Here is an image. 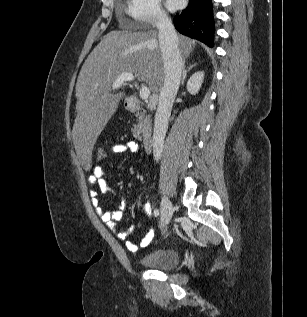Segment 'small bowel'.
I'll return each mask as SVG.
<instances>
[{
  "instance_id": "c3829d8e",
  "label": "small bowel",
  "mask_w": 307,
  "mask_h": 317,
  "mask_svg": "<svg viewBox=\"0 0 307 317\" xmlns=\"http://www.w3.org/2000/svg\"><path fill=\"white\" fill-rule=\"evenodd\" d=\"M111 150L114 154H130V153L135 154L139 152V145L135 141H127L125 143L114 144ZM88 181L90 185L97 186L99 191L103 194L115 193V191H113L106 182V170L100 165H95L92 168V173L89 176ZM91 195H92V203L100 219L110 226V228L115 232L116 236L120 240H126L128 236V232L120 231L114 225V222L121 220L124 215L126 200L125 199L122 200L120 207L117 210L104 211L102 207L100 206L97 191L93 190L91 192ZM154 236H155V231L154 229H151L150 232L142 239V241L140 242V245H137L131 241H126V247L130 251L136 252L139 249V246H143V247L147 246L153 240Z\"/></svg>"
}]
</instances>
